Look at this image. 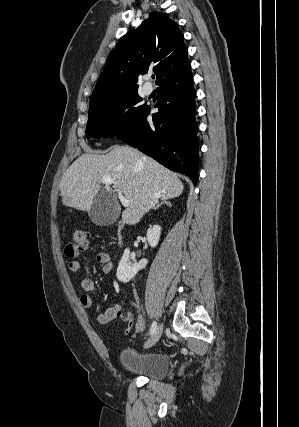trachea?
<instances>
[{
    "mask_svg": "<svg viewBox=\"0 0 299 427\" xmlns=\"http://www.w3.org/2000/svg\"><path fill=\"white\" fill-rule=\"evenodd\" d=\"M152 78L154 79V78H155V76H154V75H152Z\"/></svg>",
    "mask_w": 299,
    "mask_h": 427,
    "instance_id": "1",
    "label": "trachea"
}]
</instances>
